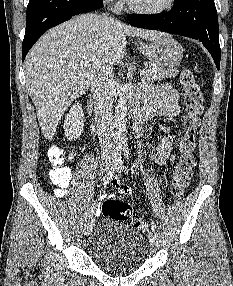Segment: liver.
<instances>
[{
    "label": "liver",
    "instance_id": "obj_1",
    "mask_svg": "<svg viewBox=\"0 0 233 286\" xmlns=\"http://www.w3.org/2000/svg\"><path fill=\"white\" fill-rule=\"evenodd\" d=\"M163 34L97 14L46 32L25 59L26 86L44 137H54L64 112L89 89L100 64L113 66L124 58L126 36L154 40Z\"/></svg>",
    "mask_w": 233,
    "mask_h": 286
}]
</instances>
